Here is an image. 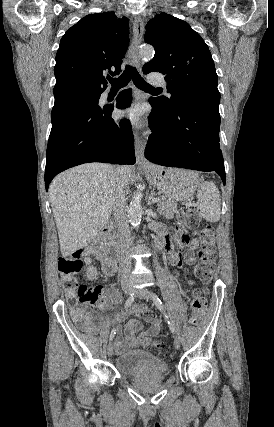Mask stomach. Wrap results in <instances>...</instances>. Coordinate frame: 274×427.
Wrapping results in <instances>:
<instances>
[{"instance_id": "obj_1", "label": "stomach", "mask_w": 274, "mask_h": 427, "mask_svg": "<svg viewBox=\"0 0 274 427\" xmlns=\"http://www.w3.org/2000/svg\"><path fill=\"white\" fill-rule=\"evenodd\" d=\"M145 176L152 186L175 202L191 198L200 184L199 174L179 168L165 170L161 166H152L151 170L145 172Z\"/></svg>"}]
</instances>
